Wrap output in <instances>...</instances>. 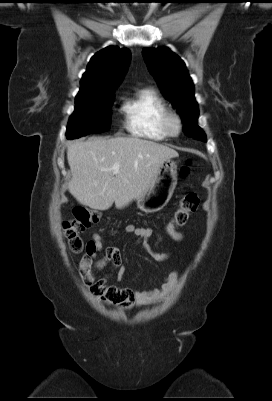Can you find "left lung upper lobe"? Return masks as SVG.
Here are the masks:
<instances>
[{
    "instance_id": "left-lung-upper-lobe-1",
    "label": "left lung upper lobe",
    "mask_w": 272,
    "mask_h": 401,
    "mask_svg": "<svg viewBox=\"0 0 272 401\" xmlns=\"http://www.w3.org/2000/svg\"><path fill=\"white\" fill-rule=\"evenodd\" d=\"M142 54L164 96L183 118L186 134L206 141V135L197 124L199 113L194 98V84L183 60L165 47L144 48Z\"/></svg>"
}]
</instances>
